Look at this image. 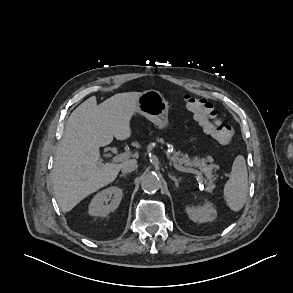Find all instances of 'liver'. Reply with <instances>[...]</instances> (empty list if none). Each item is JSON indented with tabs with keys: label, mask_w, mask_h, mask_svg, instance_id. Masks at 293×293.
I'll return each mask as SVG.
<instances>
[{
	"label": "liver",
	"mask_w": 293,
	"mask_h": 293,
	"mask_svg": "<svg viewBox=\"0 0 293 293\" xmlns=\"http://www.w3.org/2000/svg\"><path fill=\"white\" fill-rule=\"evenodd\" d=\"M140 94H115L100 105L96 97H90L71 113L51 171L54 195L62 212L71 211L116 179L122 164L102 163L99 149L109 145L113 137H131L130 121L137 112Z\"/></svg>",
	"instance_id": "obj_1"
}]
</instances>
